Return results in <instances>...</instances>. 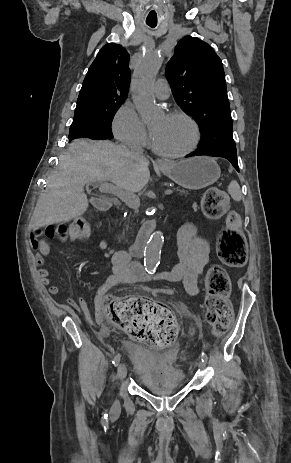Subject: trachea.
<instances>
[{"mask_svg": "<svg viewBox=\"0 0 291 463\" xmlns=\"http://www.w3.org/2000/svg\"><path fill=\"white\" fill-rule=\"evenodd\" d=\"M146 24H147L148 26H150L151 28H154V27H156V25H157L156 22H146Z\"/></svg>", "mask_w": 291, "mask_h": 463, "instance_id": "3493384b", "label": "trachea"}]
</instances>
